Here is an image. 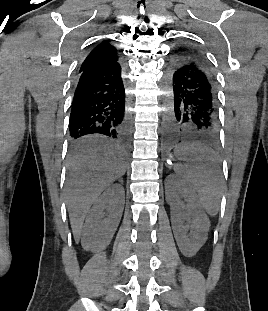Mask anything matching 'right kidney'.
<instances>
[{
    "label": "right kidney",
    "mask_w": 268,
    "mask_h": 311,
    "mask_svg": "<svg viewBox=\"0 0 268 311\" xmlns=\"http://www.w3.org/2000/svg\"><path fill=\"white\" fill-rule=\"evenodd\" d=\"M124 198L123 186L113 184L94 202L82 231L85 250L96 252L109 245L122 216Z\"/></svg>",
    "instance_id": "ca27d5eb"
}]
</instances>
